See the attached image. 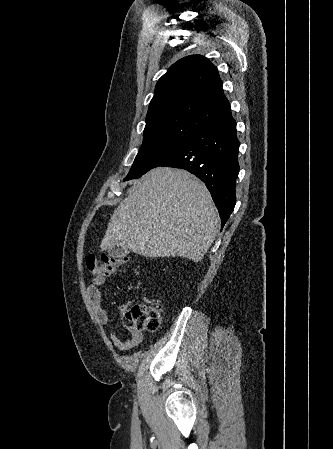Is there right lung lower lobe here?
Here are the masks:
<instances>
[{
    "label": "right lung lower lobe",
    "instance_id": "98d812e1",
    "mask_svg": "<svg viewBox=\"0 0 333 449\" xmlns=\"http://www.w3.org/2000/svg\"><path fill=\"white\" fill-rule=\"evenodd\" d=\"M239 145L236 121L229 114L202 128L155 167L185 169L201 179L212 195L223 227L236 204Z\"/></svg>",
    "mask_w": 333,
    "mask_h": 449
}]
</instances>
